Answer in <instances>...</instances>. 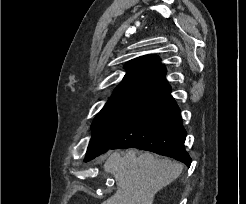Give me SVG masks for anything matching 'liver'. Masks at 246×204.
I'll use <instances>...</instances> for the list:
<instances>
[{
  "mask_svg": "<svg viewBox=\"0 0 246 204\" xmlns=\"http://www.w3.org/2000/svg\"><path fill=\"white\" fill-rule=\"evenodd\" d=\"M182 169L181 164L155 158L149 152L139 156L135 149L124 155L114 152L104 170L114 176L117 191L102 204H153L155 194L175 181Z\"/></svg>",
  "mask_w": 246,
  "mask_h": 204,
  "instance_id": "6515ba94",
  "label": "liver"
}]
</instances>
